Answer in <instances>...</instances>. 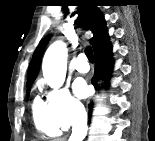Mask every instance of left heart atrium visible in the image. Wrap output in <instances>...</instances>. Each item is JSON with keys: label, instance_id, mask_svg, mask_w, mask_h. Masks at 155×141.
<instances>
[{"label": "left heart atrium", "instance_id": "39dd6f15", "mask_svg": "<svg viewBox=\"0 0 155 141\" xmlns=\"http://www.w3.org/2000/svg\"><path fill=\"white\" fill-rule=\"evenodd\" d=\"M73 89L75 94L80 98L85 97L88 94V87L85 81L82 79H77L75 81Z\"/></svg>", "mask_w": 155, "mask_h": 141}]
</instances>
